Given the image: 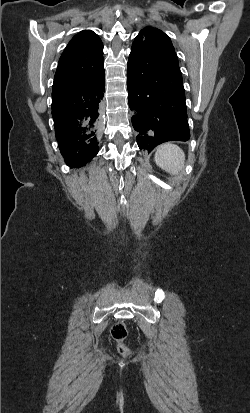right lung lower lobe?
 <instances>
[{"label":"right lung lower lobe","mask_w":250,"mask_h":413,"mask_svg":"<svg viewBox=\"0 0 250 413\" xmlns=\"http://www.w3.org/2000/svg\"><path fill=\"white\" fill-rule=\"evenodd\" d=\"M104 69L90 82L53 89L52 116L56 139L66 164L81 167L99 151L100 102Z\"/></svg>","instance_id":"98d812e1"}]
</instances>
